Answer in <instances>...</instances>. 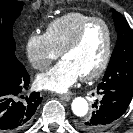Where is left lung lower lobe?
Returning <instances> with one entry per match:
<instances>
[{
  "mask_svg": "<svg viewBox=\"0 0 133 133\" xmlns=\"http://www.w3.org/2000/svg\"><path fill=\"white\" fill-rule=\"evenodd\" d=\"M98 94L103 97L93 105L96 109L92 112V116L84 121L86 129L83 130L86 133H99L107 129L125 113L132 99L131 95L119 90L104 89Z\"/></svg>",
  "mask_w": 133,
  "mask_h": 133,
  "instance_id": "0a47b994",
  "label": "left lung lower lobe"
}]
</instances>
